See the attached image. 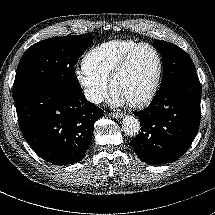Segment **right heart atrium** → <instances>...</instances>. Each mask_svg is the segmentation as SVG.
Segmentation results:
<instances>
[{
    "label": "right heart atrium",
    "mask_w": 215,
    "mask_h": 215,
    "mask_svg": "<svg viewBox=\"0 0 215 215\" xmlns=\"http://www.w3.org/2000/svg\"><path fill=\"white\" fill-rule=\"evenodd\" d=\"M75 80L86 101L93 105H99L106 100L109 94L107 83L92 77L84 69L75 72Z\"/></svg>",
    "instance_id": "d8ad5b80"
}]
</instances>
